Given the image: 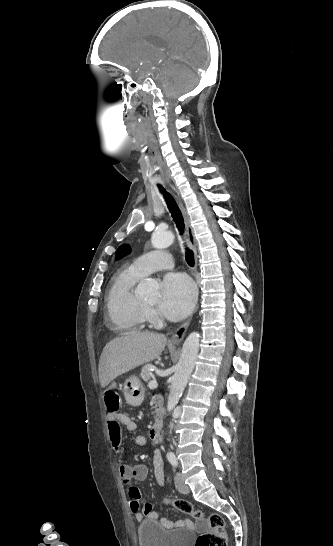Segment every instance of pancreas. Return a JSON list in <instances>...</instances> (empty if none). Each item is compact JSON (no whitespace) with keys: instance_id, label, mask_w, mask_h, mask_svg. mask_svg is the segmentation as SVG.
<instances>
[{"instance_id":"pancreas-1","label":"pancreas","mask_w":333,"mask_h":546,"mask_svg":"<svg viewBox=\"0 0 333 546\" xmlns=\"http://www.w3.org/2000/svg\"><path fill=\"white\" fill-rule=\"evenodd\" d=\"M153 366L151 364H147L142 368L141 377L145 382H148L151 379V372L150 369Z\"/></svg>"}]
</instances>
